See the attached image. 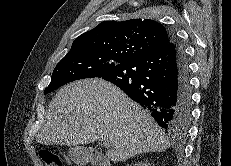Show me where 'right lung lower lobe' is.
Here are the masks:
<instances>
[{"label": "right lung lower lobe", "instance_id": "1", "mask_svg": "<svg viewBox=\"0 0 231 166\" xmlns=\"http://www.w3.org/2000/svg\"><path fill=\"white\" fill-rule=\"evenodd\" d=\"M98 77L117 85L150 111L170 135L187 132L192 108L189 69L174 36L159 51L116 65Z\"/></svg>", "mask_w": 231, "mask_h": 166}]
</instances>
